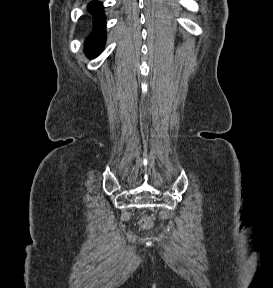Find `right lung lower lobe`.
<instances>
[{
  "label": "right lung lower lobe",
  "mask_w": 273,
  "mask_h": 288,
  "mask_svg": "<svg viewBox=\"0 0 273 288\" xmlns=\"http://www.w3.org/2000/svg\"><path fill=\"white\" fill-rule=\"evenodd\" d=\"M88 9L94 21L93 30L85 42V51L88 57L94 58L100 54L105 43V16L102 4L98 1L91 2Z\"/></svg>",
  "instance_id": "1"
}]
</instances>
